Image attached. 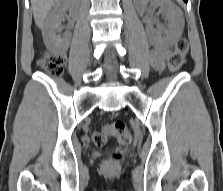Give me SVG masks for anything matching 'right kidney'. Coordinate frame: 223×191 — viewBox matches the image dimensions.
<instances>
[{"mask_svg":"<svg viewBox=\"0 0 223 191\" xmlns=\"http://www.w3.org/2000/svg\"><path fill=\"white\" fill-rule=\"evenodd\" d=\"M77 5V0H61L54 6L45 21L42 30L43 39L49 50L54 54L61 55L69 48L72 34L70 31H66L61 35V23L66 11L76 8Z\"/></svg>","mask_w":223,"mask_h":191,"instance_id":"ca27d5eb","label":"right kidney"}]
</instances>
